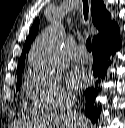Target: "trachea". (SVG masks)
<instances>
[{"mask_svg":"<svg viewBox=\"0 0 125 128\" xmlns=\"http://www.w3.org/2000/svg\"><path fill=\"white\" fill-rule=\"evenodd\" d=\"M84 18L87 20L88 16V0H83ZM86 48L88 51L92 50L90 37L86 40Z\"/></svg>","mask_w":125,"mask_h":128,"instance_id":"trachea-1","label":"trachea"}]
</instances>
